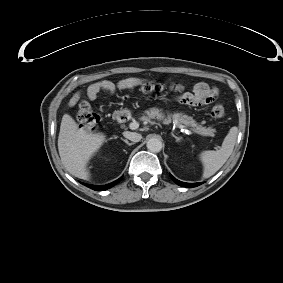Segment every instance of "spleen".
Here are the masks:
<instances>
[{
	"instance_id": "obj_1",
	"label": "spleen",
	"mask_w": 283,
	"mask_h": 283,
	"mask_svg": "<svg viewBox=\"0 0 283 283\" xmlns=\"http://www.w3.org/2000/svg\"><path fill=\"white\" fill-rule=\"evenodd\" d=\"M237 132V127H232L219 150L206 151L203 154L202 160L205 165V174L207 177L218 171L229 158L235 145Z\"/></svg>"
}]
</instances>
